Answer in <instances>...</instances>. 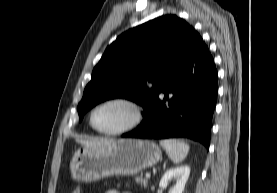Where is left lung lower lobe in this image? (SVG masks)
<instances>
[{"label":"left lung lower lobe","mask_w":277,"mask_h":193,"mask_svg":"<svg viewBox=\"0 0 277 193\" xmlns=\"http://www.w3.org/2000/svg\"><path fill=\"white\" fill-rule=\"evenodd\" d=\"M217 93L214 60L199 35L188 57L165 83L153 107L145 112L140 126L122 137H187L209 148Z\"/></svg>","instance_id":"0a47b994"}]
</instances>
